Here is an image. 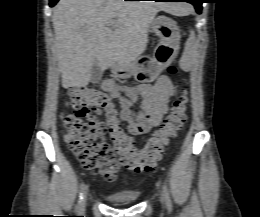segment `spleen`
<instances>
[{
  "mask_svg": "<svg viewBox=\"0 0 260 217\" xmlns=\"http://www.w3.org/2000/svg\"><path fill=\"white\" fill-rule=\"evenodd\" d=\"M196 45L195 32L193 30L190 31V36L185 44L184 54L189 55L193 52Z\"/></svg>",
  "mask_w": 260,
  "mask_h": 217,
  "instance_id": "3e777b00",
  "label": "spleen"
}]
</instances>
